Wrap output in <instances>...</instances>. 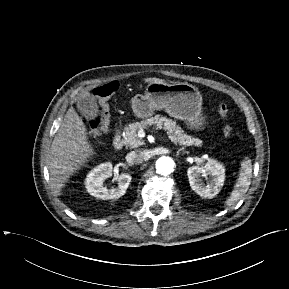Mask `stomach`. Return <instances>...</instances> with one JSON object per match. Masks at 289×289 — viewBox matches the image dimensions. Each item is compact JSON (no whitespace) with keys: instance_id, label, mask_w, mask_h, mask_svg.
Masks as SVG:
<instances>
[{"instance_id":"1","label":"stomach","mask_w":289,"mask_h":289,"mask_svg":"<svg viewBox=\"0 0 289 289\" xmlns=\"http://www.w3.org/2000/svg\"><path fill=\"white\" fill-rule=\"evenodd\" d=\"M164 109L171 117L186 121L188 128L201 130L205 126L202 115V96L198 89L185 83H149L144 94L132 98V110L138 118H147L155 110Z\"/></svg>"}]
</instances>
